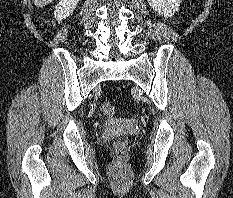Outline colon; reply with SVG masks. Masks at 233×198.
Returning a JSON list of instances; mask_svg holds the SVG:
<instances>
[{
  "label": "colon",
  "mask_w": 233,
  "mask_h": 198,
  "mask_svg": "<svg viewBox=\"0 0 233 198\" xmlns=\"http://www.w3.org/2000/svg\"><path fill=\"white\" fill-rule=\"evenodd\" d=\"M101 111L107 115L111 116L114 113V107L109 103H103L101 105ZM114 152L118 162H122L126 155V144L124 141L119 140L114 144Z\"/></svg>",
  "instance_id": "1"
}]
</instances>
